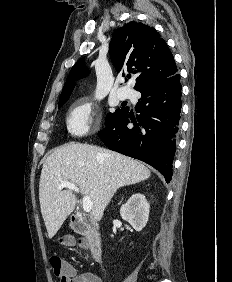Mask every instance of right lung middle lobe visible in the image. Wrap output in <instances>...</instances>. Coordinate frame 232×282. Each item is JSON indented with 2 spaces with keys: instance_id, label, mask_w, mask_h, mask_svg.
I'll use <instances>...</instances> for the list:
<instances>
[{
  "instance_id": "1",
  "label": "right lung middle lobe",
  "mask_w": 232,
  "mask_h": 282,
  "mask_svg": "<svg viewBox=\"0 0 232 282\" xmlns=\"http://www.w3.org/2000/svg\"><path fill=\"white\" fill-rule=\"evenodd\" d=\"M69 97L63 98L61 100H59V107H62V105L68 100ZM127 107H122L121 109H117L114 113H108L106 116V122H108L109 120L117 117L118 115H120L121 113H123L126 110Z\"/></svg>"
}]
</instances>
